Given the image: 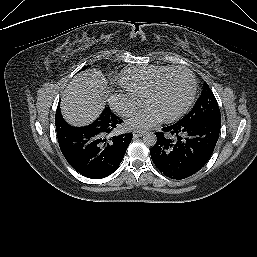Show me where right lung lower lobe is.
Masks as SVG:
<instances>
[{"mask_svg": "<svg viewBox=\"0 0 257 257\" xmlns=\"http://www.w3.org/2000/svg\"><path fill=\"white\" fill-rule=\"evenodd\" d=\"M122 120L111 111H103L85 127L56 125L60 149L68 163L80 174L102 179L114 173L131 142L132 134L112 135Z\"/></svg>", "mask_w": 257, "mask_h": 257, "instance_id": "98d812e1", "label": "right lung lower lobe"}]
</instances>
